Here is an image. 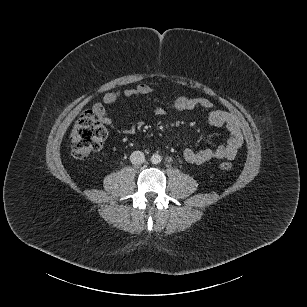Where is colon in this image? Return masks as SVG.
<instances>
[{
    "instance_id": "1",
    "label": "colon",
    "mask_w": 307,
    "mask_h": 307,
    "mask_svg": "<svg viewBox=\"0 0 307 307\" xmlns=\"http://www.w3.org/2000/svg\"><path fill=\"white\" fill-rule=\"evenodd\" d=\"M107 132L92 110L85 111L75 122L71 135V153L77 159H83L101 148ZM221 169L231 170V162L220 164Z\"/></svg>"
}]
</instances>
